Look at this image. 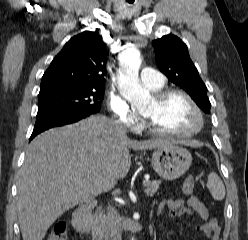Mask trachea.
<instances>
[{"label":"trachea","instance_id":"3493384b","mask_svg":"<svg viewBox=\"0 0 248 240\" xmlns=\"http://www.w3.org/2000/svg\"><path fill=\"white\" fill-rule=\"evenodd\" d=\"M128 2H130V3H132L133 2V0H127Z\"/></svg>","mask_w":248,"mask_h":240}]
</instances>
